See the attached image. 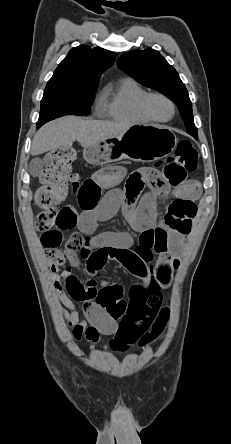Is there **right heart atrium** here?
I'll list each match as a JSON object with an SVG mask.
<instances>
[{
    "label": "right heart atrium",
    "mask_w": 231,
    "mask_h": 444,
    "mask_svg": "<svg viewBox=\"0 0 231 444\" xmlns=\"http://www.w3.org/2000/svg\"><path fill=\"white\" fill-rule=\"evenodd\" d=\"M104 110V99L103 96L100 95L96 101V112L101 113Z\"/></svg>",
    "instance_id": "obj_1"
}]
</instances>
